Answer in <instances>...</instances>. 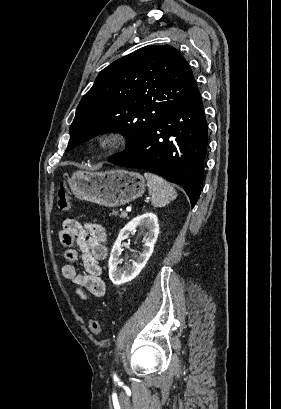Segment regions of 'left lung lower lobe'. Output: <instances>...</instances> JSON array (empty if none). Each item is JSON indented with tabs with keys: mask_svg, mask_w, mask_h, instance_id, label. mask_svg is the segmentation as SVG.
Returning a JSON list of instances; mask_svg holds the SVG:
<instances>
[{
	"mask_svg": "<svg viewBox=\"0 0 281 409\" xmlns=\"http://www.w3.org/2000/svg\"><path fill=\"white\" fill-rule=\"evenodd\" d=\"M207 143V122L195 83L142 139L108 161L145 169L180 184L193 208L202 189Z\"/></svg>",
	"mask_w": 281,
	"mask_h": 409,
	"instance_id": "obj_1",
	"label": "left lung lower lobe"
}]
</instances>
